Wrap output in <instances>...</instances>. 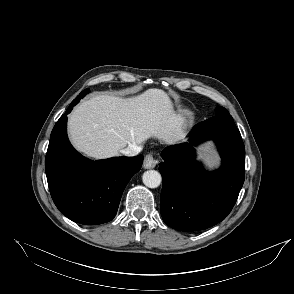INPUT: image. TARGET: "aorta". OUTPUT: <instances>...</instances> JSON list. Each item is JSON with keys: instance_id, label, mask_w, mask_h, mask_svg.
<instances>
[{"instance_id": "aorta-1", "label": "aorta", "mask_w": 294, "mask_h": 294, "mask_svg": "<svg viewBox=\"0 0 294 294\" xmlns=\"http://www.w3.org/2000/svg\"><path fill=\"white\" fill-rule=\"evenodd\" d=\"M142 180L144 185L149 188H157L162 182L160 173L155 170H148L144 172Z\"/></svg>"}]
</instances>
